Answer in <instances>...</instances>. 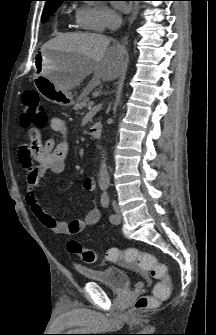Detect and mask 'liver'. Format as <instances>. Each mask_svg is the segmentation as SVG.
Masks as SVG:
<instances>
[{"label":"liver","mask_w":216,"mask_h":335,"mask_svg":"<svg viewBox=\"0 0 216 335\" xmlns=\"http://www.w3.org/2000/svg\"><path fill=\"white\" fill-rule=\"evenodd\" d=\"M111 39L96 33H65L46 42V49L69 53L72 61L63 73L52 79L64 91L79 86L90 73L94 72L92 84L100 80H115L125 65L126 49L120 44L109 46Z\"/></svg>","instance_id":"6515ba94"}]
</instances>
